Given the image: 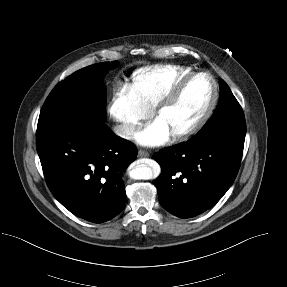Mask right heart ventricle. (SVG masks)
<instances>
[{"instance_id":"right-heart-ventricle-1","label":"right heart ventricle","mask_w":287,"mask_h":287,"mask_svg":"<svg viewBox=\"0 0 287 287\" xmlns=\"http://www.w3.org/2000/svg\"><path fill=\"white\" fill-rule=\"evenodd\" d=\"M192 69L182 65H155L136 70L129 84L141 107L150 111Z\"/></svg>"}]
</instances>
